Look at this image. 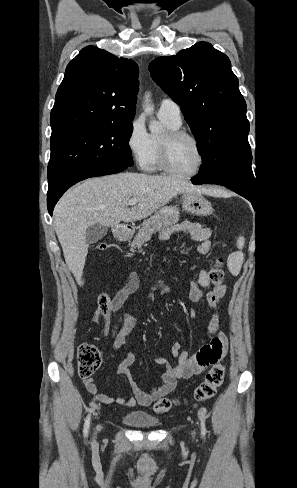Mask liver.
I'll list each match as a JSON object with an SVG mask.
<instances>
[{"instance_id":"6515ba94","label":"liver","mask_w":297,"mask_h":488,"mask_svg":"<svg viewBox=\"0 0 297 488\" xmlns=\"http://www.w3.org/2000/svg\"><path fill=\"white\" fill-rule=\"evenodd\" d=\"M209 193L175 176H150L124 172L84 181L66 192L54 209V227L65 262L77 284L82 275L89 245L86 231L101 224L118 226L120 222L144 219L183 192ZM139 203L128 208V202Z\"/></svg>"}]
</instances>
